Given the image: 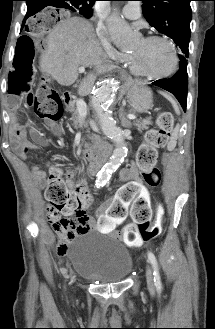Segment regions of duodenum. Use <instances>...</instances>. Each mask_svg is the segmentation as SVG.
I'll return each instance as SVG.
<instances>
[{
    "label": "duodenum",
    "instance_id": "duodenum-1",
    "mask_svg": "<svg viewBox=\"0 0 215 329\" xmlns=\"http://www.w3.org/2000/svg\"><path fill=\"white\" fill-rule=\"evenodd\" d=\"M63 102L66 106H71L73 101V94L65 92L62 94ZM110 148L107 142L98 141L96 145L87 147L83 154L84 157L90 162L94 169L99 168L103 165L108 157Z\"/></svg>",
    "mask_w": 215,
    "mask_h": 329
}]
</instances>
